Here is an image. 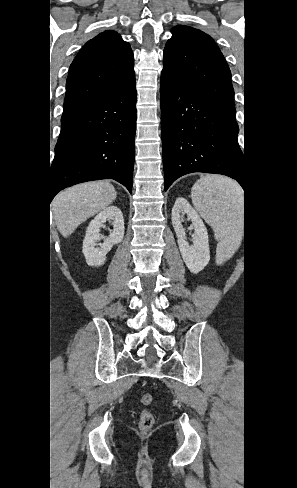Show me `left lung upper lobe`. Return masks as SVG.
Returning <instances> with one entry per match:
<instances>
[{"label":"left lung upper lobe","instance_id":"obj_1","mask_svg":"<svg viewBox=\"0 0 297 488\" xmlns=\"http://www.w3.org/2000/svg\"><path fill=\"white\" fill-rule=\"evenodd\" d=\"M163 55V71L183 88L236 114L231 72L213 39L187 26L172 29Z\"/></svg>","mask_w":297,"mask_h":488}]
</instances>
